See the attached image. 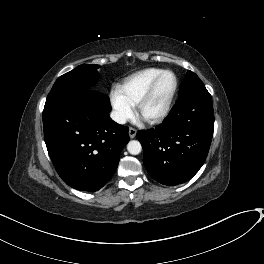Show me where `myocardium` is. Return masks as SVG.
<instances>
[{"instance_id":"myocardium-1","label":"myocardium","mask_w":264,"mask_h":264,"mask_svg":"<svg viewBox=\"0 0 264 264\" xmlns=\"http://www.w3.org/2000/svg\"><path fill=\"white\" fill-rule=\"evenodd\" d=\"M169 74L173 77L174 80V85L173 88L167 98V101L164 105V107L162 108V110L160 112H158L157 114H155L154 116L151 117H142V119L150 124H154V123H158L160 121H162L170 112L174 98L176 96L177 90H178V79L177 76L169 70H163L158 76H156L153 81L150 83V85L147 87V89L144 91V93L141 95V97L138 99V101L136 102V113L137 115L140 116V110L142 109V107L144 106V104L151 98V96L154 93V90L157 86V84L159 83L160 79L166 75Z\"/></svg>"}]
</instances>
